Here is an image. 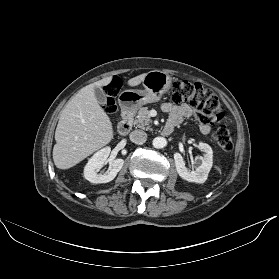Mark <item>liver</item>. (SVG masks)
<instances>
[{
	"mask_svg": "<svg viewBox=\"0 0 279 279\" xmlns=\"http://www.w3.org/2000/svg\"><path fill=\"white\" fill-rule=\"evenodd\" d=\"M147 73L128 80V85H139ZM111 77L89 84L74 95L62 110L55 131L53 148L54 164L59 169H68L113 139V126L106 112L100 107L94 88H101Z\"/></svg>",
	"mask_w": 279,
	"mask_h": 279,
	"instance_id": "6515ba94",
	"label": "liver"
}]
</instances>
